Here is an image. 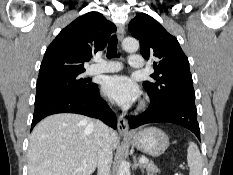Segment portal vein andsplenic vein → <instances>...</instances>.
Returning a JSON list of instances; mask_svg holds the SVG:
<instances>
[{"instance_id": "1", "label": "portal vein and splenic vein", "mask_w": 233, "mask_h": 175, "mask_svg": "<svg viewBox=\"0 0 233 175\" xmlns=\"http://www.w3.org/2000/svg\"><path fill=\"white\" fill-rule=\"evenodd\" d=\"M139 162H140V163H147V162H149V160H148L147 158H145V157H141V158L139 159Z\"/></svg>"}]
</instances>
